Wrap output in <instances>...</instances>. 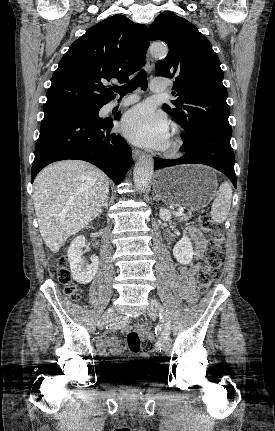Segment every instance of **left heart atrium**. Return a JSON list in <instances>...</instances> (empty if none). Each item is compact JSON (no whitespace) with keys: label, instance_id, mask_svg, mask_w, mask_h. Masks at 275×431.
Here are the masks:
<instances>
[{"label":"left heart atrium","instance_id":"39dd6f15","mask_svg":"<svg viewBox=\"0 0 275 431\" xmlns=\"http://www.w3.org/2000/svg\"><path fill=\"white\" fill-rule=\"evenodd\" d=\"M120 129L132 143L152 148H164L169 140L165 116L147 104L129 110L122 118Z\"/></svg>","mask_w":275,"mask_h":431}]
</instances>
